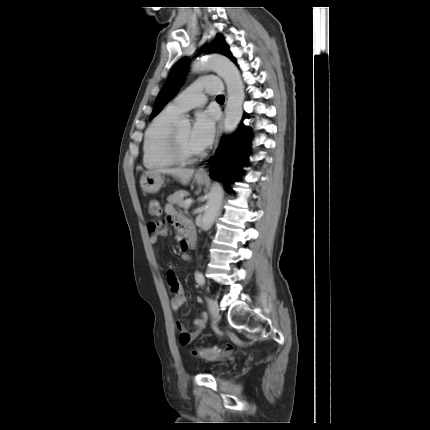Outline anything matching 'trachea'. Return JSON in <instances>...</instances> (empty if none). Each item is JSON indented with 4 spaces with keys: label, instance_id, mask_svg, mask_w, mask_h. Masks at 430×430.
<instances>
[{
    "label": "trachea",
    "instance_id": "trachea-1",
    "mask_svg": "<svg viewBox=\"0 0 430 430\" xmlns=\"http://www.w3.org/2000/svg\"><path fill=\"white\" fill-rule=\"evenodd\" d=\"M217 100H224L225 99V97L223 96V95H219V96H217V98H216Z\"/></svg>",
    "mask_w": 430,
    "mask_h": 430
}]
</instances>
